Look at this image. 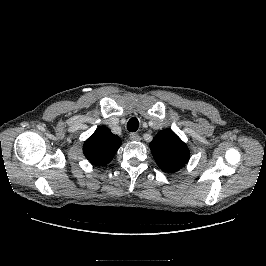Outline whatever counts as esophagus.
<instances>
[{"instance_id":"1","label":"esophagus","mask_w":266,"mask_h":266,"mask_svg":"<svg viewBox=\"0 0 266 266\" xmlns=\"http://www.w3.org/2000/svg\"><path fill=\"white\" fill-rule=\"evenodd\" d=\"M130 139L132 141H139L140 140V136L136 133H130Z\"/></svg>"}]
</instances>
